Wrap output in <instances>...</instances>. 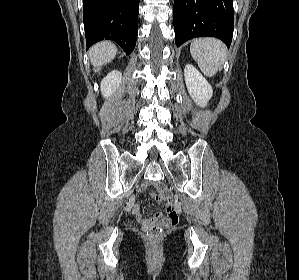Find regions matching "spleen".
<instances>
[{
	"label": "spleen",
	"instance_id": "3e777b00",
	"mask_svg": "<svg viewBox=\"0 0 299 280\" xmlns=\"http://www.w3.org/2000/svg\"><path fill=\"white\" fill-rule=\"evenodd\" d=\"M190 52L200 70L207 77L214 76L222 69L227 56L224 43L214 38L195 39L190 45Z\"/></svg>",
	"mask_w": 299,
	"mask_h": 280
}]
</instances>
